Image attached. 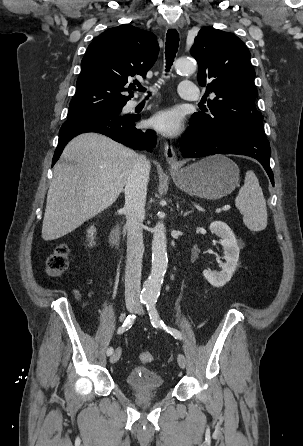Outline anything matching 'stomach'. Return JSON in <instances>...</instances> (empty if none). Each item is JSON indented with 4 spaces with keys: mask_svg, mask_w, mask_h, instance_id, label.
Segmentation results:
<instances>
[{
    "mask_svg": "<svg viewBox=\"0 0 303 446\" xmlns=\"http://www.w3.org/2000/svg\"><path fill=\"white\" fill-rule=\"evenodd\" d=\"M173 180L182 191L207 199H219L238 185L240 170L223 155L204 158L185 168L172 167Z\"/></svg>",
    "mask_w": 303,
    "mask_h": 446,
    "instance_id": "obj_1",
    "label": "stomach"
}]
</instances>
